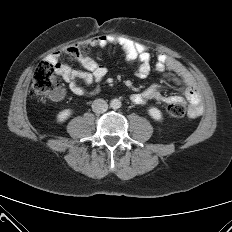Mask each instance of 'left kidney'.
Wrapping results in <instances>:
<instances>
[{"mask_svg":"<svg viewBox=\"0 0 232 232\" xmlns=\"http://www.w3.org/2000/svg\"><path fill=\"white\" fill-rule=\"evenodd\" d=\"M148 113L156 121H161L163 119L161 111L156 107L149 108Z\"/></svg>","mask_w":232,"mask_h":232,"instance_id":"obj_1","label":"left kidney"}]
</instances>
